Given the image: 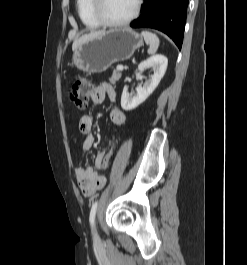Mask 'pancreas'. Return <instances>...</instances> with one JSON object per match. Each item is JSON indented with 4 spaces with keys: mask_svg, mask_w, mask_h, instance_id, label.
I'll return each mask as SVG.
<instances>
[{
    "mask_svg": "<svg viewBox=\"0 0 247 265\" xmlns=\"http://www.w3.org/2000/svg\"><path fill=\"white\" fill-rule=\"evenodd\" d=\"M121 78L120 70L116 69L113 71L111 78L109 79L111 83H116Z\"/></svg>",
    "mask_w": 247,
    "mask_h": 265,
    "instance_id": "obj_1",
    "label": "pancreas"
}]
</instances>
